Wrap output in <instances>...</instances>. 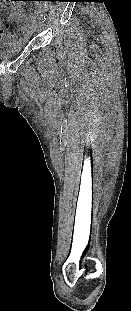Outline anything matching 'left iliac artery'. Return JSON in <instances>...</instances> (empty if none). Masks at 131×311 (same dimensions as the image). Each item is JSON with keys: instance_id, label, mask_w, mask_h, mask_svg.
I'll list each match as a JSON object with an SVG mask.
<instances>
[{"instance_id": "44dca946", "label": "left iliac artery", "mask_w": 131, "mask_h": 311, "mask_svg": "<svg viewBox=\"0 0 131 311\" xmlns=\"http://www.w3.org/2000/svg\"><path fill=\"white\" fill-rule=\"evenodd\" d=\"M40 19L43 20V22H44L46 18H45V16L41 15Z\"/></svg>"}]
</instances>
